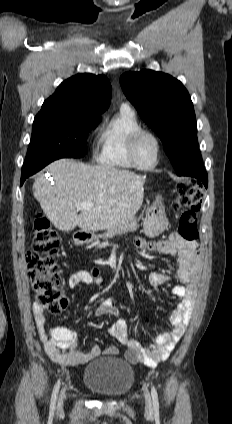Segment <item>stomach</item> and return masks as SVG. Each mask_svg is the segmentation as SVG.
<instances>
[{
  "label": "stomach",
  "instance_id": "1",
  "mask_svg": "<svg viewBox=\"0 0 232 424\" xmlns=\"http://www.w3.org/2000/svg\"><path fill=\"white\" fill-rule=\"evenodd\" d=\"M167 225L168 220L164 206L160 200H157L153 203L147 212L143 223V231L146 236L154 238L161 234L166 229ZM87 240L91 241V239Z\"/></svg>",
  "mask_w": 232,
  "mask_h": 424
}]
</instances>
